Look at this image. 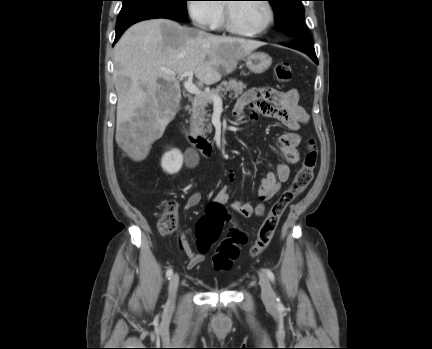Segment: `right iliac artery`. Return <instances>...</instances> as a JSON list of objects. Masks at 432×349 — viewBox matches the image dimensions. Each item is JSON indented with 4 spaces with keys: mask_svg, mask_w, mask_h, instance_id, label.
Listing matches in <instances>:
<instances>
[{
    "mask_svg": "<svg viewBox=\"0 0 432 349\" xmlns=\"http://www.w3.org/2000/svg\"><path fill=\"white\" fill-rule=\"evenodd\" d=\"M172 274H173V270H172L171 268H169V269L167 270V272H166V277H167L168 279H170V277L172 276Z\"/></svg>",
    "mask_w": 432,
    "mask_h": 349,
    "instance_id": "obj_1",
    "label": "right iliac artery"
}]
</instances>
